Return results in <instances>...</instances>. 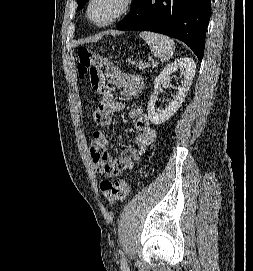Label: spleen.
<instances>
[{
  "label": "spleen",
  "instance_id": "1",
  "mask_svg": "<svg viewBox=\"0 0 253 271\" xmlns=\"http://www.w3.org/2000/svg\"><path fill=\"white\" fill-rule=\"evenodd\" d=\"M149 45L154 56L161 62L169 61L175 50V43L172 39L158 33L143 31L139 34Z\"/></svg>",
  "mask_w": 253,
  "mask_h": 271
}]
</instances>
